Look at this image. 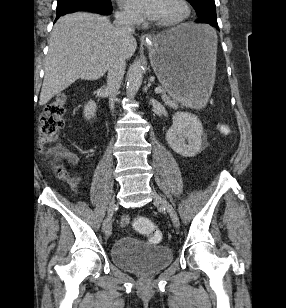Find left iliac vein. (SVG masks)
<instances>
[{
	"label": "left iliac vein",
	"instance_id": "1",
	"mask_svg": "<svg viewBox=\"0 0 286 308\" xmlns=\"http://www.w3.org/2000/svg\"><path fill=\"white\" fill-rule=\"evenodd\" d=\"M152 197L154 202L159 203L169 214L174 226L176 228L179 227V219L177 216V213L175 211V209L173 208V206L163 197H161L159 194H157L156 192H152Z\"/></svg>",
	"mask_w": 286,
	"mask_h": 308
}]
</instances>
